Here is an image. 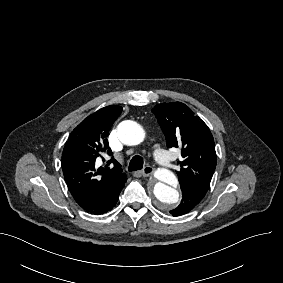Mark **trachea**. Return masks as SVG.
I'll return each instance as SVG.
<instances>
[{
    "label": "trachea",
    "mask_w": 283,
    "mask_h": 283,
    "mask_svg": "<svg viewBox=\"0 0 283 283\" xmlns=\"http://www.w3.org/2000/svg\"><path fill=\"white\" fill-rule=\"evenodd\" d=\"M143 165H144L143 158L139 155H135L132 157L128 169L130 172L141 170L143 168Z\"/></svg>",
    "instance_id": "obj_1"
}]
</instances>
